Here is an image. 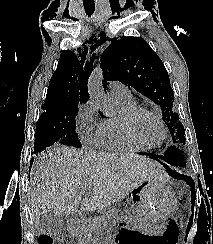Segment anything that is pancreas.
I'll use <instances>...</instances> for the list:
<instances>
[{"mask_svg": "<svg viewBox=\"0 0 213 244\" xmlns=\"http://www.w3.org/2000/svg\"><path fill=\"white\" fill-rule=\"evenodd\" d=\"M94 223L96 222L89 221L85 223V225L82 228V234L85 242L97 238V226Z\"/></svg>", "mask_w": 213, "mask_h": 244, "instance_id": "pancreas-1", "label": "pancreas"}]
</instances>
